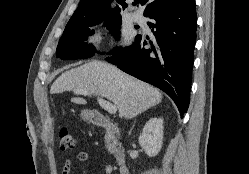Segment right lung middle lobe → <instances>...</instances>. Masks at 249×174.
<instances>
[{
	"instance_id": "1",
	"label": "right lung middle lobe",
	"mask_w": 249,
	"mask_h": 174,
	"mask_svg": "<svg viewBox=\"0 0 249 174\" xmlns=\"http://www.w3.org/2000/svg\"><path fill=\"white\" fill-rule=\"evenodd\" d=\"M104 22V25L108 27L112 34L118 36L119 29L122 24L121 17L104 18L95 21H86L76 24L66 25L64 33L57 46L56 56L61 59L74 60L90 58L96 52L95 48L89 47L84 40L88 35H91L93 31H90L89 26ZM139 36V35H138ZM136 36V38L138 37ZM135 38V39H136ZM122 48L114 49L110 54L119 52Z\"/></svg>"
}]
</instances>
